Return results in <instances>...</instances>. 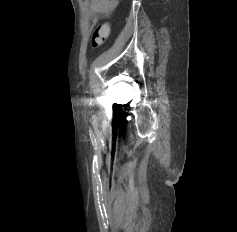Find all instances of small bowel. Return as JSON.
Instances as JSON below:
<instances>
[{"label": "small bowel", "mask_w": 237, "mask_h": 232, "mask_svg": "<svg viewBox=\"0 0 237 232\" xmlns=\"http://www.w3.org/2000/svg\"><path fill=\"white\" fill-rule=\"evenodd\" d=\"M91 9L98 14H105L112 11L118 0H91Z\"/></svg>", "instance_id": "c3829d8e"}]
</instances>
